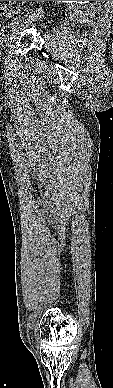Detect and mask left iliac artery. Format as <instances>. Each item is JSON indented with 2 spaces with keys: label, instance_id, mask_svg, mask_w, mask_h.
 I'll use <instances>...</instances> for the list:
<instances>
[{
  "label": "left iliac artery",
  "instance_id": "obj_1",
  "mask_svg": "<svg viewBox=\"0 0 113 388\" xmlns=\"http://www.w3.org/2000/svg\"><path fill=\"white\" fill-rule=\"evenodd\" d=\"M39 13H43L42 9H39L38 10V13H34V14H31L29 16H25L26 19H31V20H34L36 19L38 16H39ZM25 18L24 17H17L14 19V21L12 22V24H19L20 22H22Z\"/></svg>",
  "mask_w": 113,
  "mask_h": 388
}]
</instances>
